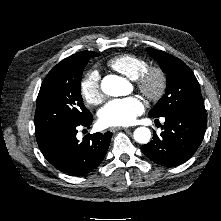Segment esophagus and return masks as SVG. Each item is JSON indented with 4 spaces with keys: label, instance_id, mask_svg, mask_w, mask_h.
<instances>
[{
    "label": "esophagus",
    "instance_id": "1",
    "mask_svg": "<svg viewBox=\"0 0 221 221\" xmlns=\"http://www.w3.org/2000/svg\"><path fill=\"white\" fill-rule=\"evenodd\" d=\"M119 130H128V128L127 127H112V128H110L111 132H116Z\"/></svg>",
    "mask_w": 221,
    "mask_h": 221
}]
</instances>
